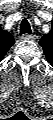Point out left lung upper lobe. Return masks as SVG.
I'll list each match as a JSON object with an SVG mask.
<instances>
[{"mask_svg":"<svg viewBox=\"0 0 53 120\" xmlns=\"http://www.w3.org/2000/svg\"><path fill=\"white\" fill-rule=\"evenodd\" d=\"M39 44L42 46L48 61L53 62V31H50L48 34L44 35Z\"/></svg>","mask_w":53,"mask_h":120,"instance_id":"left-lung-upper-lobe-1","label":"left lung upper lobe"}]
</instances>
